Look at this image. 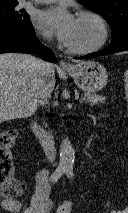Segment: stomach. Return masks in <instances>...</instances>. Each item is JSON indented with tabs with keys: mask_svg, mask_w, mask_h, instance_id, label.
<instances>
[{
	"mask_svg": "<svg viewBox=\"0 0 128 213\" xmlns=\"http://www.w3.org/2000/svg\"><path fill=\"white\" fill-rule=\"evenodd\" d=\"M68 73L78 87L88 93L100 91L108 79L105 67L95 61H83L73 65Z\"/></svg>",
	"mask_w": 128,
	"mask_h": 213,
	"instance_id": "obj_1",
	"label": "stomach"
}]
</instances>
